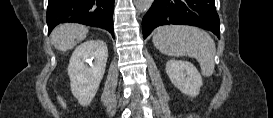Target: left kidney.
<instances>
[{
    "label": "left kidney",
    "instance_id": "5707ae66",
    "mask_svg": "<svg viewBox=\"0 0 273 118\" xmlns=\"http://www.w3.org/2000/svg\"><path fill=\"white\" fill-rule=\"evenodd\" d=\"M166 74L173 85L183 94L195 97L202 86V77L196 67L187 61L169 60L166 64Z\"/></svg>",
    "mask_w": 273,
    "mask_h": 118
}]
</instances>
